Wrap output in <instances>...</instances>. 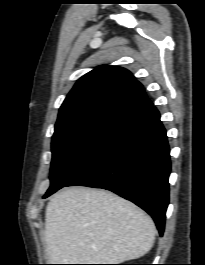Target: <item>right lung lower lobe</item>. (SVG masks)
<instances>
[{"instance_id": "right-lung-lower-lobe-1", "label": "right lung lower lobe", "mask_w": 205, "mask_h": 265, "mask_svg": "<svg viewBox=\"0 0 205 265\" xmlns=\"http://www.w3.org/2000/svg\"><path fill=\"white\" fill-rule=\"evenodd\" d=\"M171 170L166 131L156 107L123 130L65 186L110 190L141 207L163 235Z\"/></svg>"}]
</instances>
